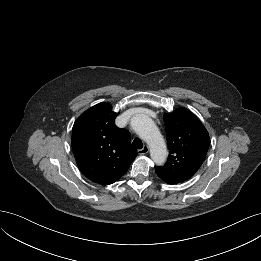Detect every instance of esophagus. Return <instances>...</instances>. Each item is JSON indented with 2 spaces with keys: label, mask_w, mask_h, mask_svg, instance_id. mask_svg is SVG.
Returning a JSON list of instances; mask_svg holds the SVG:
<instances>
[{
  "label": "esophagus",
  "mask_w": 261,
  "mask_h": 261,
  "mask_svg": "<svg viewBox=\"0 0 261 261\" xmlns=\"http://www.w3.org/2000/svg\"><path fill=\"white\" fill-rule=\"evenodd\" d=\"M149 152V147L147 145H144L142 149L138 150L139 155H145Z\"/></svg>",
  "instance_id": "34e87169"
}]
</instances>
